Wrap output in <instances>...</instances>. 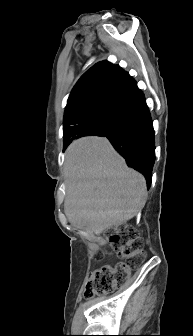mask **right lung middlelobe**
<instances>
[{
  "label": "right lung middle lobe",
  "mask_w": 193,
  "mask_h": 336,
  "mask_svg": "<svg viewBox=\"0 0 193 336\" xmlns=\"http://www.w3.org/2000/svg\"><path fill=\"white\" fill-rule=\"evenodd\" d=\"M111 112L110 109L103 110L94 117L79 120L71 127L70 131L74 134L83 133L84 136L96 135L104 127Z\"/></svg>",
  "instance_id": "dd1d6c3e"
}]
</instances>
